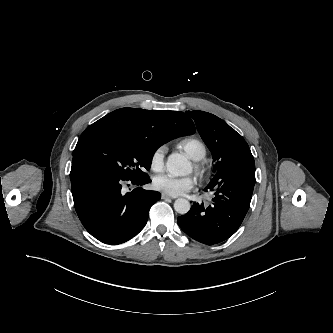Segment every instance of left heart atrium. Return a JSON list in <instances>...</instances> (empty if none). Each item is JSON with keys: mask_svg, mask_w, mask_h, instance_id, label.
I'll list each match as a JSON object with an SVG mask.
<instances>
[{"mask_svg": "<svg viewBox=\"0 0 333 333\" xmlns=\"http://www.w3.org/2000/svg\"><path fill=\"white\" fill-rule=\"evenodd\" d=\"M195 186V179L192 176L174 177L169 174H160L154 177L153 187L171 197L183 195Z\"/></svg>", "mask_w": 333, "mask_h": 333, "instance_id": "39dd6f15", "label": "left heart atrium"}]
</instances>
